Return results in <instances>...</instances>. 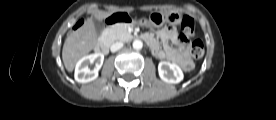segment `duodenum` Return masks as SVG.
I'll use <instances>...</instances> for the list:
<instances>
[{
  "label": "duodenum",
  "instance_id": "duodenum-1",
  "mask_svg": "<svg viewBox=\"0 0 276 120\" xmlns=\"http://www.w3.org/2000/svg\"><path fill=\"white\" fill-rule=\"evenodd\" d=\"M116 25L132 27L134 25V18L128 15L117 14L112 18L104 19L102 21V26L104 28L115 27ZM140 38L146 43L149 40L144 34H142ZM96 50L100 54H107L109 46L105 42H99L96 46Z\"/></svg>",
  "mask_w": 276,
  "mask_h": 120
}]
</instances>
